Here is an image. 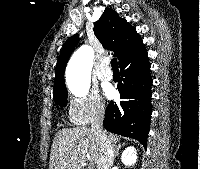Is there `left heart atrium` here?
<instances>
[{
    "label": "left heart atrium",
    "mask_w": 200,
    "mask_h": 169,
    "mask_svg": "<svg viewBox=\"0 0 200 169\" xmlns=\"http://www.w3.org/2000/svg\"><path fill=\"white\" fill-rule=\"evenodd\" d=\"M105 94H106V96H107L108 98H112L113 95H114V90H113L112 88H107V89L105 90Z\"/></svg>",
    "instance_id": "obj_1"
}]
</instances>
